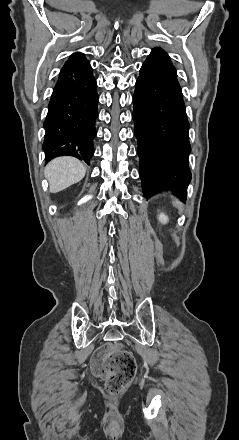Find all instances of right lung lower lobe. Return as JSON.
I'll use <instances>...</instances> for the list:
<instances>
[{
	"label": "right lung lower lobe",
	"instance_id": "1",
	"mask_svg": "<svg viewBox=\"0 0 239 440\" xmlns=\"http://www.w3.org/2000/svg\"><path fill=\"white\" fill-rule=\"evenodd\" d=\"M98 101L89 62L68 60L59 74L44 122L46 162L69 155L90 164Z\"/></svg>",
	"mask_w": 239,
	"mask_h": 440
}]
</instances>
